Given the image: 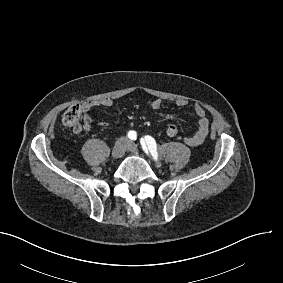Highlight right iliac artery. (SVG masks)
Instances as JSON below:
<instances>
[{"mask_svg": "<svg viewBox=\"0 0 283 283\" xmlns=\"http://www.w3.org/2000/svg\"><path fill=\"white\" fill-rule=\"evenodd\" d=\"M128 138L131 139V140H136L137 138V134L135 131H129L128 132Z\"/></svg>", "mask_w": 283, "mask_h": 283, "instance_id": "82829eb1", "label": "right iliac artery"}]
</instances>
